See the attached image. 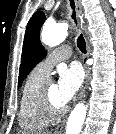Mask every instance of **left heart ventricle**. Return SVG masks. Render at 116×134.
I'll return each mask as SVG.
<instances>
[{
	"label": "left heart ventricle",
	"instance_id": "obj_1",
	"mask_svg": "<svg viewBox=\"0 0 116 134\" xmlns=\"http://www.w3.org/2000/svg\"><path fill=\"white\" fill-rule=\"evenodd\" d=\"M49 95L54 104H56L58 106L62 105L60 102V99H59V95H58L57 84L54 82H51L49 85Z\"/></svg>",
	"mask_w": 116,
	"mask_h": 134
}]
</instances>
